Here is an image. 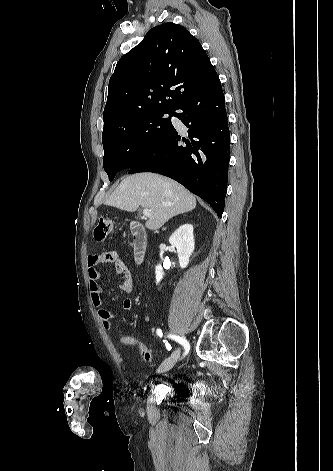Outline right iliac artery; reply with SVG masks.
<instances>
[{
    "label": "right iliac artery",
    "mask_w": 333,
    "mask_h": 471,
    "mask_svg": "<svg viewBox=\"0 0 333 471\" xmlns=\"http://www.w3.org/2000/svg\"><path fill=\"white\" fill-rule=\"evenodd\" d=\"M158 335L161 336L162 332L160 334L158 333ZM168 337L175 340V341H177L178 343H180L184 347V349H185L184 355H186L189 352L190 345H189V342L185 338L177 336V335H173V334H169Z\"/></svg>",
    "instance_id": "right-iliac-artery-1"
}]
</instances>
